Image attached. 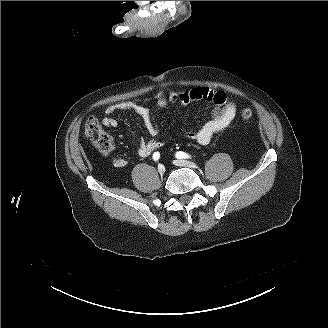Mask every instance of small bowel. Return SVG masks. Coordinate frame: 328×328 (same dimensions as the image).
Masks as SVG:
<instances>
[{
	"label": "small bowel",
	"instance_id": "c3829d8e",
	"mask_svg": "<svg viewBox=\"0 0 328 328\" xmlns=\"http://www.w3.org/2000/svg\"><path fill=\"white\" fill-rule=\"evenodd\" d=\"M155 100L160 105H165L168 101L187 105L193 101H202L213 105L211 118L199 129L190 130L185 133V137L194 140L201 145L210 143L212 137L225 130L234 120L237 112L236 105L229 101L223 92H215L207 88H195L189 91L167 90L156 95ZM117 111H131L137 114L143 121L145 130L148 134L155 137L159 134V129L154 123L152 112L139 101H121L109 105L105 109L106 116L102 118V124L107 128H115L118 121L111 115ZM163 141L152 138L149 140H141L138 147V155L140 157H148L153 152L163 146ZM105 152L104 154H108ZM112 164L115 167L122 168L128 164V160L124 157H114Z\"/></svg>",
	"mask_w": 328,
	"mask_h": 328
}]
</instances>
